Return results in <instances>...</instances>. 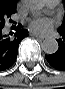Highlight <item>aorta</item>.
<instances>
[{"label":"aorta","instance_id":"762f6f07","mask_svg":"<svg viewBox=\"0 0 65 89\" xmlns=\"http://www.w3.org/2000/svg\"><path fill=\"white\" fill-rule=\"evenodd\" d=\"M28 6L30 10L32 11H40L44 8L45 6V1L44 0H30L28 2ZM58 42L54 38H46L42 42V50L46 54H54L58 50Z\"/></svg>","mask_w":65,"mask_h":89}]
</instances>
